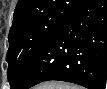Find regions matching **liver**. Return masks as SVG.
Wrapping results in <instances>:
<instances>
[{
    "label": "liver",
    "mask_w": 107,
    "mask_h": 89,
    "mask_svg": "<svg viewBox=\"0 0 107 89\" xmlns=\"http://www.w3.org/2000/svg\"><path fill=\"white\" fill-rule=\"evenodd\" d=\"M61 83L51 82V83H45L43 85L37 86V89H57V85Z\"/></svg>",
    "instance_id": "obj_1"
}]
</instances>
